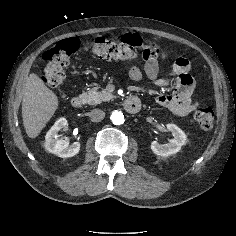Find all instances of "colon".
<instances>
[{
  "instance_id": "colon-1",
  "label": "colon",
  "mask_w": 236,
  "mask_h": 236,
  "mask_svg": "<svg viewBox=\"0 0 236 236\" xmlns=\"http://www.w3.org/2000/svg\"><path fill=\"white\" fill-rule=\"evenodd\" d=\"M79 48L77 38H67L59 41L43 54L46 62L42 79L50 87L60 86L65 80V71L71 55ZM85 50L101 59L143 60L149 61L163 56V52L154 46L141 48L137 43L117 41L110 38L99 37L87 43ZM194 118L198 125L205 130L212 128L214 112L211 108H199Z\"/></svg>"
}]
</instances>
